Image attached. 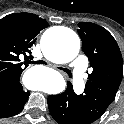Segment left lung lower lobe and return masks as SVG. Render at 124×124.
<instances>
[{
    "instance_id": "left-lung-lower-lobe-1",
    "label": "left lung lower lobe",
    "mask_w": 124,
    "mask_h": 124,
    "mask_svg": "<svg viewBox=\"0 0 124 124\" xmlns=\"http://www.w3.org/2000/svg\"><path fill=\"white\" fill-rule=\"evenodd\" d=\"M48 107L50 114L58 124H90L86 121L77 95L69 82L63 93L48 97Z\"/></svg>"
}]
</instances>
